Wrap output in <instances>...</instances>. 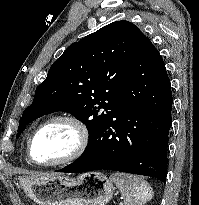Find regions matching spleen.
I'll return each instance as SVG.
<instances>
[{
  "label": "spleen",
  "mask_w": 199,
  "mask_h": 205,
  "mask_svg": "<svg viewBox=\"0 0 199 205\" xmlns=\"http://www.w3.org/2000/svg\"><path fill=\"white\" fill-rule=\"evenodd\" d=\"M110 180L120 189L125 205H143L153 197L151 186L139 176L117 172Z\"/></svg>",
  "instance_id": "obj_1"
}]
</instances>
